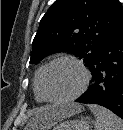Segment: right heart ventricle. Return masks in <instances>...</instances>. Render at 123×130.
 Segmentation results:
<instances>
[{
    "label": "right heart ventricle",
    "mask_w": 123,
    "mask_h": 130,
    "mask_svg": "<svg viewBox=\"0 0 123 130\" xmlns=\"http://www.w3.org/2000/svg\"><path fill=\"white\" fill-rule=\"evenodd\" d=\"M42 68H43V66H40L36 70L34 78H33V89H34L35 98L39 102L45 101L40 93V87H39V79H40V74H41Z\"/></svg>",
    "instance_id": "e07e8e85"
}]
</instances>
